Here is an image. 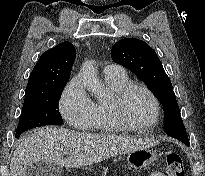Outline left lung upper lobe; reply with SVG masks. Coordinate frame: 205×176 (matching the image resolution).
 Listing matches in <instances>:
<instances>
[{"label":"left lung upper lobe","instance_id":"1","mask_svg":"<svg viewBox=\"0 0 205 176\" xmlns=\"http://www.w3.org/2000/svg\"><path fill=\"white\" fill-rule=\"evenodd\" d=\"M111 57L114 62L139 76L163 104L167 135L189 146L170 78L165 73L156 52L142 40L127 38L113 45Z\"/></svg>","mask_w":205,"mask_h":176}]
</instances>
